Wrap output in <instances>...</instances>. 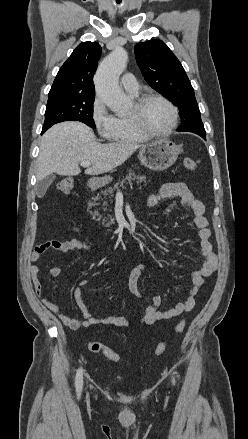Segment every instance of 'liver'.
Segmentation results:
<instances>
[{
	"instance_id": "1",
	"label": "liver",
	"mask_w": 248,
	"mask_h": 439,
	"mask_svg": "<svg viewBox=\"0 0 248 439\" xmlns=\"http://www.w3.org/2000/svg\"><path fill=\"white\" fill-rule=\"evenodd\" d=\"M142 145L131 142L101 144L93 130L78 121L52 126L41 138L36 179L41 181L57 173L64 176L80 174L79 163L88 161L87 175H98L124 163Z\"/></svg>"
}]
</instances>
